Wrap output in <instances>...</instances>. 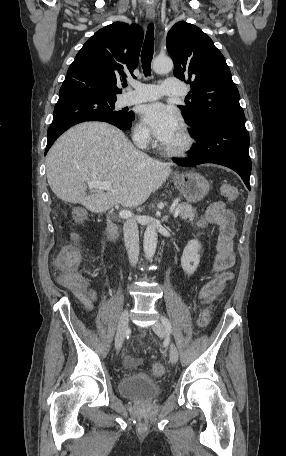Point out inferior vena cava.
I'll return each instance as SVG.
<instances>
[{
	"instance_id": "602c4592",
	"label": "inferior vena cava",
	"mask_w": 286,
	"mask_h": 456,
	"mask_svg": "<svg viewBox=\"0 0 286 456\" xmlns=\"http://www.w3.org/2000/svg\"><path fill=\"white\" fill-rule=\"evenodd\" d=\"M146 139L147 136L145 134H142L137 139V142L139 145H142L145 143ZM123 232L129 261L132 265H135L138 261L139 256V231L135 218L126 220L123 225Z\"/></svg>"
}]
</instances>
